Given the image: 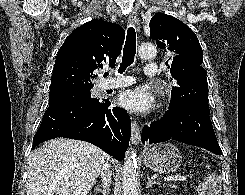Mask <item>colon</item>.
I'll use <instances>...</instances> for the list:
<instances>
[{"label":"colon","instance_id":"5ec220e1","mask_svg":"<svg viewBox=\"0 0 245 195\" xmlns=\"http://www.w3.org/2000/svg\"><path fill=\"white\" fill-rule=\"evenodd\" d=\"M221 181L215 175L205 173V178L198 187V195H220Z\"/></svg>","mask_w":245,"mask_h":195}]
</instances>
